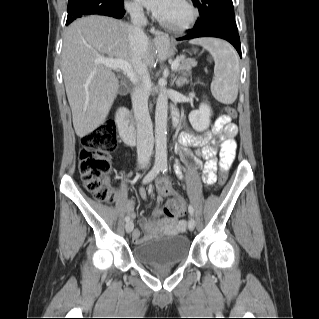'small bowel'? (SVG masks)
<instances>
[{
  "label": "small bowel",
  "instance_id": "c3829d8e",
  "mask_svg": "<svg viewBox=\"0 0 319 319\" xmlns=\"http://www.w3.org/2000/svg\"><path fill=\"white\" fill-rule=\"evenodd\" d=\"M238 133L237 125L233 122L230 115L219 116L213 127L212 131H206L204 133H195L193 131H188L180 135V143L184 147H193L197 150L198 156L205 159L204 164H200L199 168L203 172V181L206 184H214L217 180V166L218 163L215 159V155L219 149L220 160L219 167L222 170H228L231 163L235 157L236 151V136ZM214 135V137L212 136ZM178 175L180 178L183 177L179 167H177ZM160 184H165V187L158 188ZM156 186L159 190L160 195L172 196V199L176 200L182 205L183 216L186 212L185 201L178 196L169 186L168 181L165 178H160L156 182ZM139 194L141 198H147V189L141 187L139 189ZM125 211L130 216L134 217L136 211L134 208L133 200L127 201L125 204ZM146 237H142L139 230H134L133 232V242L139 244L147 239V237L154 235L160 231H166L169 233H183L186 230V221L184 219L180 220H166L160 219L157 221L145 220L141 223Z\"/></svg>",
  "mask_w": 319,
  "mask_h": 319
}]
</instances>
